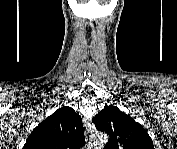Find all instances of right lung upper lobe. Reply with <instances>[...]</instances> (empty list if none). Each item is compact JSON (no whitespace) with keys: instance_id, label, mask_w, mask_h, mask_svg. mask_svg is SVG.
I'll return each mask as SVG.
<instances>
[{"instance_id":"cb5924a9","label":"right lung upper lobe","mask_w":177,"mask_h":149,"mask_svg":"<svg viewBox=\"0 0 177 149\" xmlns=\"http://www.w3.org/2000/svg\"><path fill=\"white\" fill-rule=\"evenodd\" d=\"M82 119L68 107L56 110L42 121L26 140V149H76L84 146Z\"/></svg>"}]
</instances>
